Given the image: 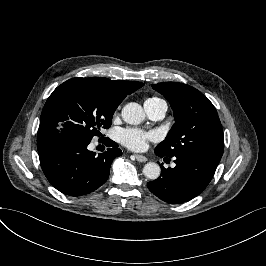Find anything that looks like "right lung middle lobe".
I'll return each instance as SVG.
<instances>
[{"label": "right lung middle lobe", "instance_id": "dd1d6c3e", "mask_svg": "<svg viewBox=\"0 0 266 266\" xmlns=\"http://www.w3.org/2000/svg\"><path fill=\"white\" fill-rule=\"evenodd\" d=\"M127 94L117 90L107 78H72L47 99L38 130L39 144L59 138L91 141L109 128L113 114Z\"/></svg>", "mask_w": 266, "mask_h": 266}]
</instances>
